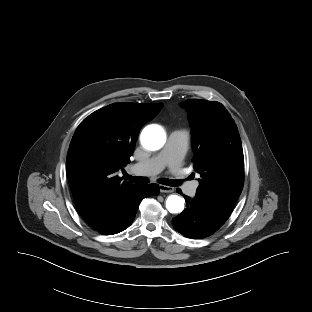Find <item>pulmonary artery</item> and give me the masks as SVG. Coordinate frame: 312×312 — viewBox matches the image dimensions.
<instances>
[{
  "label": "pulmonary artery",
  "mask_w": 312,
  "mask_h": 312,
  "mask_svg": "<svg viewBox=\"0 0 312 312\" xmlns=\"http://www.w3.org/2000/svg\"><path fill=\"white\" fill-rule=\"evenodd\" d=\"M189 136L183 130L172 131L167 139V142L162 151L155 157L139 161L133 165V169L139 173L156 174L162 171L165 167H169L172 172H180L181 162L188 149ZM197 183H188L186 192L190 196H194L197 189Z\"/></svg>",
  "instance_id": "1"
}]
</instances>
